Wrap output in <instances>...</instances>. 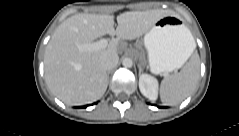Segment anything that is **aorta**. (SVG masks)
Instances as JSON below:
<instances>
[{
    "label": "aorta",
    "mask_w": 239,
    "mask_h": 136,
    "mask_svg": "<svg viewBox=\"0 0 239 136\" xmlns=\"http://www.w3.org/2000/svg\"><path fill=\"white\" fill-rule=\"evenodd\" d=\"M122 65L125 67V68H131L133 66V61L131 58H125L122 62Z\"/></svg>",
    "instance_id": "aorta-1"
}]
</instances>
